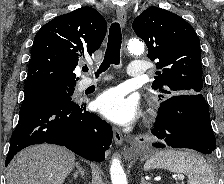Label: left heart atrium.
<instances>
[{
  "instance_id": "39dd6f15",
  "label": "left heart atrium",
  "mask_w": 224,
  "mask_h": 184,
  "mask_svg": "<svg viewBox=\"0 0 224 184\" xmlns=\"http://www.w3.org/2000/svg\"><path fill=\"white\" fill-rule=\"evenodd\" d=\"M96 109L107 119L117 124L131 123L137 114V102L126 97L118 88L103 92L95 101Z\"/></svg>"
}]
</instances>
